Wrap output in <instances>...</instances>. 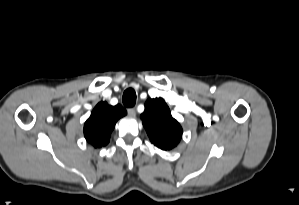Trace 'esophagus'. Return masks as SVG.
Instances as JSON below:
<instances>
[{
  "instance_id": "esophagus-1",
  "label": "esophagus",
  "mask_w": 299,
  "mask_h": 205,
  "mask_svg": "<svg viewBox=\"0 0 299 205\" xmlns=\"http://www.w3.org/2000/svg\"><path fill=\"white\" fill-rule=\"evenodd\" d=\"M127 112L130 116H135L136 115V109L135 108H128Z\"/></svg>"
}]
</instances>
